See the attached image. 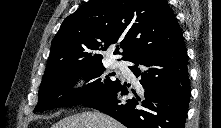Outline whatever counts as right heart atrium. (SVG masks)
I'll use <instances>...</instances> for the list:
<instances>
[{"label":"right heart atrium","mask_w":221,"mask_h":128,"mask_svg":"<svg viewBox=\"0 0 221 128\" xmlns=\"http://www.w3.org/2000/svg\"><path fill=\"white\" fill-rule=\"evenodd\" d=\"M80 86V82L75 83V87H79Z\"/></svg>","instance_id":"1"}]
</instances>
